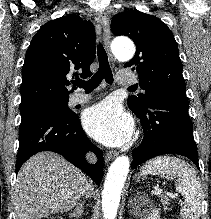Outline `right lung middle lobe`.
Listing matches in <instances>:
<instances>
[{
    "label": "right lung middle lobe",
    "mask_w": 211,
    "mask_h": 219,
    "mask_svg": "<svg viewBox=\"0 0 211 219\" xmlns=\"http://www.w3.org/2000/svg\"><path fill=\"white\" fill-rule=\"evenodd\" d=\"M67 99H43L20 105L21 121L46 112H59L70 114L72 111L67 107Z\"/></svg>",
    "instance_id": "right-lung-middle-lobe-1"
}]
</instances>
